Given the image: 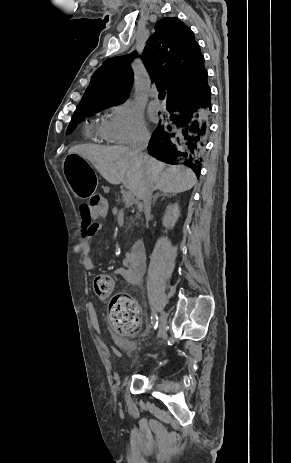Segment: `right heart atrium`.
Returning a JSON list of instances; mask_svg holds the SVG:
<instances>
[{"instance_id":"1","label":"right heart atrium","mask_w":291,"mask_h":463,"mask_svg":"<svg viewBox=\"0 0 291 463\" xmlns=\"http://www.w3.org/2000/svg\"><path fill=\"white\" fill-rule=\"evenodd\" d=\"M105 130L107 139L120 145L139 144L149 138L142 114L128 101L112 108Z\"/></svg>"}]
</instances>
